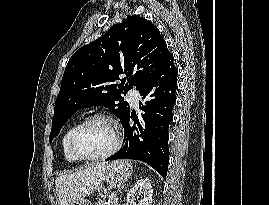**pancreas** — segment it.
Listing matches in <instances>:
<instances>
[{"label":"pancreas","mask_w":269,"mask_h":205,"mask_svg":"<svg viewBox=\"0 0 269 205\" xmlns=\"http://www.w3.org/2000/svg\"><path fill=\"white\" fill-rule=\"evenodd\" d=\"M99 205H118V199L113 195L106 201H101Z\"/></svg>","instance_id":"cf45deb5"}]
</instances>
